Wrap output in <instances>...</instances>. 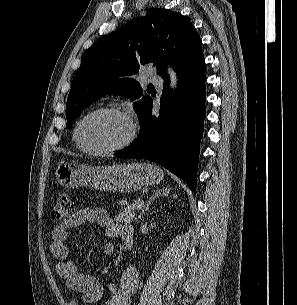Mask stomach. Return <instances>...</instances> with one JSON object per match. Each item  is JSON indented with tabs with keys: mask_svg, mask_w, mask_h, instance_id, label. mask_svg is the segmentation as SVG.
Wrapping results in <instances>:
<instances>
[{
	"mask_svg": "<svg viewBox=\"0 0 297 305\" xmlns=\"http://www.w3.org/2000/svg\"><path fill=\"white\" fill-rule=\"evenodd\" d=\"M55 177L65 188L90 186L109 192L130 193L159 183L164 174L150 163L82 166L61 161L55 169Z\"/></svg>",
	"mask_w": 297,
	"mask_h": 305,
	"instance_id": "1",
	"label": "stomach"
}]
</instances>
